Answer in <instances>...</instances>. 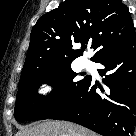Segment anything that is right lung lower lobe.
<instances>
[{
	"label": "right lung lower lobe",
	"mask_w": 136,
	"mask_h": 136,
	"mask_svg": "<svg viewBox=\"0 0 136 136\" xmlns=\"http://www.w3.org/2000/svg\"><path fill=\"white\" fill-rule=\"evenodd\" d=\"M105 66L99 74L107 89L92 77L49 118L87 127L103 136H133L136 125V35L101 52L94 60Z\"/></svg>",
	"instance_id": "right-lung-lower-lobe-1"
}]
</instances>
